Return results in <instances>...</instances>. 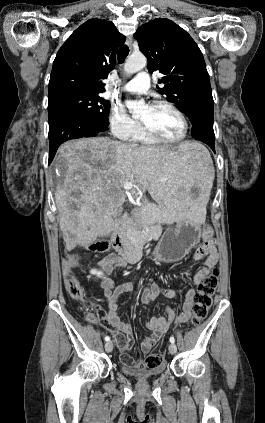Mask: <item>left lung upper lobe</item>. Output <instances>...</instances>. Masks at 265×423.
Returning a JSON list of instances; mask_svg holds the SVG:
<instances>
[{"label": "left lung upper lobe", "instance_id": "left-lung-upper-lobe-1", "mask_svg": "<svg viewBox=\"0 0 265 423\" xmlns=\"http://www.w3.org/2000/svg\"><path fill=\"white\" fill-rule=\"evenodd\" d=\"M134 38L148 59L150 73L159 71L160 94L190 116L198 98L212 94L203 55L192 37L169 19H155L140 26Z\"/></svg>", "mask_w": 265, "mask_h": 423}]
</instances>
